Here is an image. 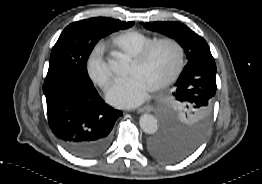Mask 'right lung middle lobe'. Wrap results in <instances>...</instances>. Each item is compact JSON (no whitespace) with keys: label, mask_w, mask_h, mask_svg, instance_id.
I'll list each match as a JSON object with an SVG mask.
<instances>
[{"label":"right lung middle lobe","mask_w":262,"mask_h":184,"mask_svg":"<svg viewBox=\"0 0 262 184\" xmlns=\"http://www.w3.org/2000/svg\"><path fill=\"white\" fill-rule=\"evenodd\" d=\"M133 24L134 22L105 17L71 23L53 47L45 82L71 78L92 84L87 74L86 62L95 44L102 37Z\"/></svg>","instance_id":"right-lung-middle-lobe-1"}]
</instances>
